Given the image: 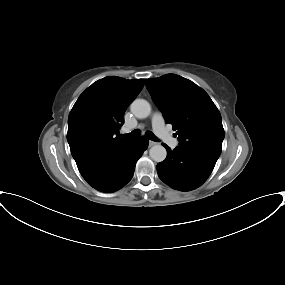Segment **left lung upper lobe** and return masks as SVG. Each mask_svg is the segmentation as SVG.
Wrapping results in <instances>:
<instances>
[{
    "mask_svg": "<svg viewBox=\"0 0 285 285\" xmlns=\"http://www.w3.org/2000/svg\"><path fill=\"white\" fill-rule=\"evenodd\" d=\"M145 84L166 122L176 130L178 146L219 158L225 133L209 95L176 74L146 79Z\"/></svg>",
    "mask_w": 285,
    "mask_h": 285,
    "instance_id": "obj_1",
    "label": "left lung upper lobe"
}]
</instances>
